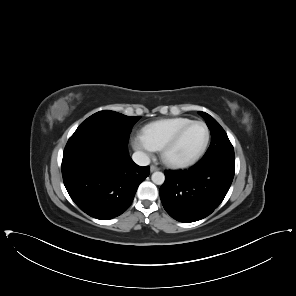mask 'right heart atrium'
<instances>
[{
    "label": "right heart atrium",
    "instance_id": "d8ad5b80",
    "mask_svg": "<svg viewBox=\"0 0 296 296\" xmlns=\"http://www.w3.org/2000/svg\"><path fill=\"white\" fill-rule=\"evenodd\" d=\"M133 148L144 157H150L157 150L143 134H136L132 137Z\"/></svg>",
    "mask_w": 296,
    "mask_h": 296
}]
</instances>
